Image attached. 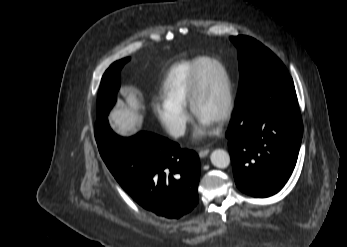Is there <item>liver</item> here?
<instances>
[{
    "label": "liver",
    "instance_id": "1",
    "mask_svg": "<svg viewBox=\"0 0 347 247\" xmlns=\"http://www.w3.org/2000/svg\"><path fill=\"white\" fill-rule=\"evenodd\" d=\"M123 97L124 102L111 111L109 121L116 134L127 137L135 134L142 126L144 106L134 89H125Z\"/></svg>",
    "mask_w": 347,
    "mask_h": 247
}]
</instances>
